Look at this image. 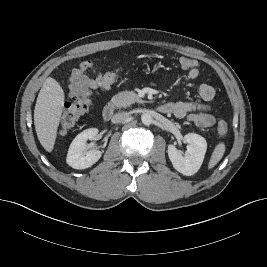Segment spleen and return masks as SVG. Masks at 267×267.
<instances>
[{"label": "spleen", "mask_w": 267, "mask_h": 267, "mask_svg": "<svg viewBox=\"0 0 267 267\" xmlns=\"http://www.w3.org/2000/svg\"><path fill=\"white\" fill-rule=\"evenodd\" d=\"M225 153V144L223 142L216 145L211 155L208 168H213L223 157Z\"/></svg>", "instance_id": "obj_1"}]
</instances>
